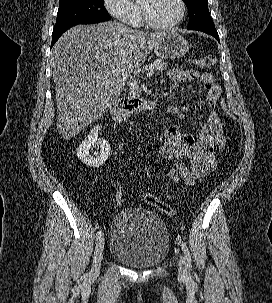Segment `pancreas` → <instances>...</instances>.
<instances>
[{"label": "pancreas", "mask_w": 272, "mask_h": 303, "mask_svg": "<svg viewBox=\"0 0 272 303\" xmlns=\"http://www.w3.org/2000/svg\"><path fill=\"white\" fill-rule=\"evenodd\" d=\"M149 67L151 69L157 71V73L159 74L166 69L167 63H165L162 59H156L152 64L149 65ZM140 95H141V90H140L139 86L137 84L130 85L128 97L136 98V97H139Z\"/></svg>", "instance_id": "cf45deb5"}]
</instances>
